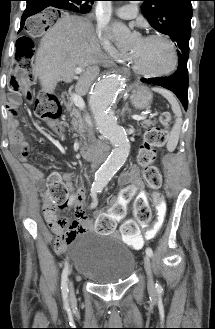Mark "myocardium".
Instances as JSON below:
<instances>
[{
  "label": "myocardium",
  "mask_w": 215,
  "mask_h": 329,
  "mask_svg": "<svg viewBox=\"0 0 215 329\" xmlns=\"http://www.w3.org/2000/svg\"><path fill=\"white\" fill-rule=\"evenodd\" d=\"M144 39L145 40L160 39V40H164L165 42H167L173 53L172 66L169 69L162 71V72H148L140 67V65L138 64V62L136 61L134 56L130 55L129 62L131 64L133 70L135 72H137L138 74L143 75L145 77H149V78H161V77H165V76L172 74L177 69V66L179 63V53H178V49H177V46L174 43V41L170 37H168L167 35H164V34H150V35L146 36Z\"/></svg>",
  "instance_id": "1"
}]
</instances>
